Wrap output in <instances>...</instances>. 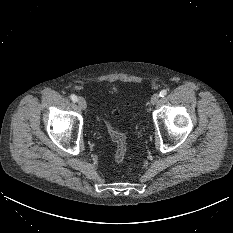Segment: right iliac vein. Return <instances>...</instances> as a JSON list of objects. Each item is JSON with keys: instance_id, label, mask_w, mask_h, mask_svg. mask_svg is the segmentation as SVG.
<instances>
[{"instance_id": "63e3f726", "label": "right iliac vein", "mask_w": 233, "mask_h": 233, "mask_svg": "<svg viewBox=\"0 0 233 233\" xmlns=\"http://www.w3.org/2000/svg\"><path fill=\"white\" fill-rule=\"evenodd\" d=\"M77 102H78V106H79V108H80L81 110H85V109H86L87 104H86V101H85V99H84L83 97H79V98L77 99Z\"/></svg>"}]
</instances>
